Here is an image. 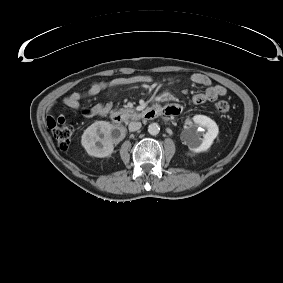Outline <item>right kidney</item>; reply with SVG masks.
Masks as SVG:
<instances>
[{
    "label": "right kidney",
    "mask_w": 283,
    "mask_h": 283,
    "mask_svg": "<svg viewBox=\"0 0 283 283\" xmlns=\"http://www.w3.org/2000/svg\"><path fill=\"white\" fill-rule=\"evenodd\" d=\"M124 137L107 121H96L90 125L81 137V145L90 156L108 157Z\"/></svg>",
    "instance_id": "obj_1"
}]
</instances>
